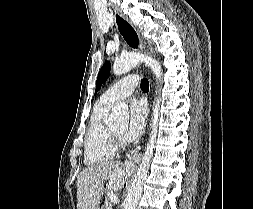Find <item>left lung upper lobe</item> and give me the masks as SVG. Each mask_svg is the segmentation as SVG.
Returning <instances> with one entry per match:
<instances>
[{
    "mask_svg": "<svg viewBox=\"0 0 253 209\" xmlns=\"http://www.w3.org/2000/svg\"><path fill=\"white\" fill-rule=\"evenodd\" d=\"M110 69H111V64L109 61H106L103 66L101 67L99 74H98V78H97V82H96V91L95 93L100 90L102 84L107 80L109 73H110Z\"/></svg>",
    "mask_w": 253,
    "mask_h": 209,
    "instance_id": "1",
    "label": "left lung upper lobe"
}]
</instances>
